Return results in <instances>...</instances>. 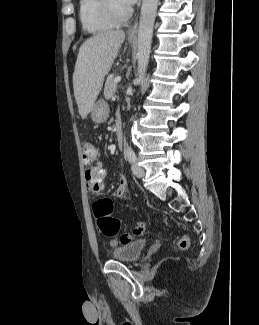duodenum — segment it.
I'll list each match as a JSON object with an SVG mask.
<instances>
[{"label": "duodenum", "instance_id": "obj_1", "mask_svg": "<svg viewBox=\"0 0 259 325\" xmlns=\"http://www.w3.org/2000/svg\"><path fill=\"white\" fill-rule=\"evenodd\" d=\"M115 133H116L117 145L119 147H122L124 136H123L122 120L120 115H117L115 119Z\"/></svg>", "mask_w": 259, "mask_h": 325}]
</instances>
